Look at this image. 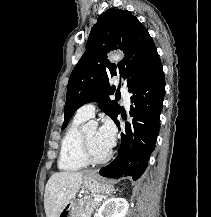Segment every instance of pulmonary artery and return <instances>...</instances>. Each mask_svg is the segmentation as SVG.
<instances>
[{
    "mask_svg": "<svg viewBox=\"0 0 211 217\" xmlns=\"http://www.w3.org/2000/svg\"><path fill=\"white\" fill-rule=\"evenodd\" d=\"M121 94L124 98L126 106L130 103V94L125 87H121ZM95 104L90 102L82 105L76 112V116L83 118L85 120L90 119L94 116Z\"/></svg>",
    "mask_w": 211,
    "mask_h": 217,
    "instance_id": "e3ab8cb5",
    "label": "pulmonary artery"
}]
</instances>
